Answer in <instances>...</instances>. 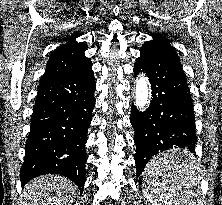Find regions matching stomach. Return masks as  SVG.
Masks as SVG:
<instances>
[{
	"instance_id": "0dacf381",
	"label": "stomach",
	"mask_w": 222,
	"mask_h": 205,
	"mask_svg": "<svg viewBox=\"0 0 222 205\" xmlns=\"http://www.w3.org/2000/svg\"><path fill=\"white\" fill-rule=\"evenodd\" d=\"M167 154H169V155H182V156L187 157V152L186 151H180V150H171V151H168Z\"/></svg>"
}]
</instances>
